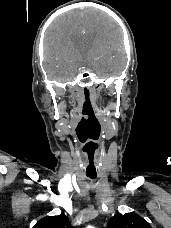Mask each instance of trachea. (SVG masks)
Here are the masks:
<instances>
[{"mask_svg": "<svg viewBox=\"0 0 171 228\" xmlns=\"http://www.w3.org/2000/svg\"><path fill=\"white\" fill-rule=\"evenodd\" d=\"M89 178H91V179H95L96 178V176H91V175H87Z\"/></svg>", "mask_w": 171, "mask_h": 228, "instance_id": "3493384b", "label": "trachea"}]
</instances>
